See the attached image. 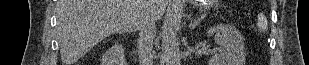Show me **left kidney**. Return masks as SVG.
<instances>
[{
	"label": "left kidney",
	"instance_id": "1",
	"mask_svg": "<svg viewBox=\"0 0 309 65\" xmlns=\"http://www.w3.org/2000/svg\"><path fill=\"white\" fill-rule=\"evenodd\" d=\"M215 36L214 40L222 49L214 55L210 65H244L246 50L242 34L236 27L228 24H219L207 30V36Z\"/></svg>",
	"mask_w": 309,
	"mask_h": 65
}]
</instances>
